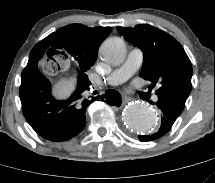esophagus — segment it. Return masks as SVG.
<instances>
[{
	"label": "esophagus",
	"mask_w": 215,
	"mask_h": 183,
	"mask_svg": "<svg viewBox=\"0 0 215 183\" xmlns=\"http://www.w3.org/2000/svg\"><path fill=\"white\" fill-rule=\"evenodd\" d=\"M130 101H132V98H131V97H128V96H126V95H124V96L122 97V102H123V104H127V103H129Z\"/></svg>",
	"instance_id": "obj_1"
}]
</instances>
